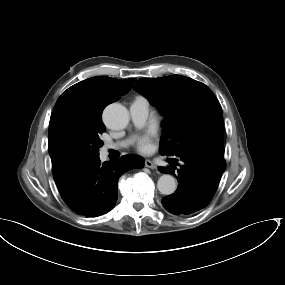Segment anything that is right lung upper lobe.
<instances>
[{"label":"right lung upper lobe","mask_w":285,"mask_h":285,"mask_svg":"<svg viewBox=\"0 0 285 285\" xmlns=\"http://www.w3.org/2000/svg\"><path fill=\"white\" fill-rule=\"evenodd\" d=\"M135 79L118 80L110 77H93L68 88L57 100H75L103 110L108 104L120 99L133 87ZM54 180L67 170H59L52 163Z\"/></svg>","instance_id":"obj_1"}]
</instances>
